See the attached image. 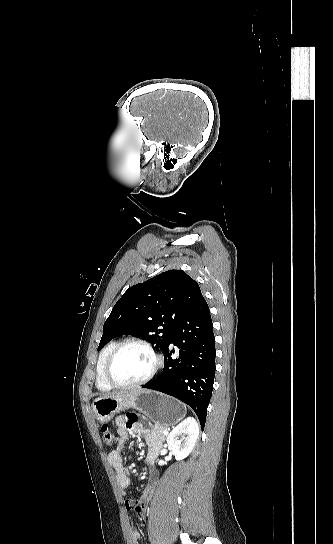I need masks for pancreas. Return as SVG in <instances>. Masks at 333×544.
Returning <instances> with one entry per match:
<instances>
[{
  "label": "pancreas",
  "instance_id": "pancreas-1",
  "mask_svg": "<svg viewBox=\"0 0 333 544\" xmlns=\"http://www.w3.org/2000/svg\"><path fill=\"white\" fill-rule=\"evenodd\" d=\"M165 427L163 426H158V425H154L152 428H151V433H154V434H157L158 436L161 437V439L164 441L165 438H166V435H163V432L165 431Z\"/></svg>",
  "mask_w": 333,
  "mask_h": 544
}]
</instances>
